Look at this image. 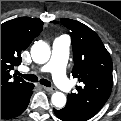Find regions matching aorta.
Masks as SVG:
<instances>
[{
    "instance_id": "obj_1",
    "label": "aorta",
    "mask_w": 121,
    "mask_h": 121,
    "mask_svg": "<svg viewBox=\"0 0 121 121\" xmlns=\"http://www.w3.org/2000/svg\"><path fill=\"white\" fill-rule=\"evenodd\" d=\"M50 47L46 42L38 41L31 47V57L35 63L44 64L50 59ZM52 104L62 108L66 104V96L62 92H55L51 97Z\"/></svg>"
}]
</instances>
